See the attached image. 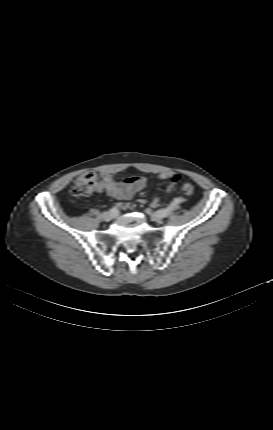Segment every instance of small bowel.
I'll return each instance as SVG.
<instances>
[{"mask_svg": "<svg viewBox=\"0 0 273 430\" xmlns=\"http://www.w3.org/2000/svg\"><path fill=\"white\" fill-rule=\"evenodd\" d=\"M98 176L100 178V183L98 184L97 190L99 192H105L109 196L122 201L130 200L133 196L143 190L148 183V178L146 176L126 178L119 182L115 181L113 176L106 172L99 173ZM158 177L162 180L170 182V185L167 188L168 193L173 192L174 185L180 179L179 174L173 171L160 173ZM177 200L179 202L183 201L181 197H178ZM140 202L144 204L147 201L140 199ZM149 203L152 207L156 208L159 206L160 200L158 197H154ZM118 207L121 209H126L129 208V205L127 203H119Z\"/></svg>", "mask_w": 273, "mask_h": 430, "instance_id": "small-bowel-1", "label": "small bowel"}]
</instances>
